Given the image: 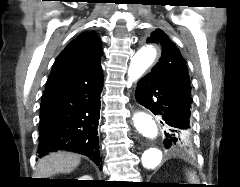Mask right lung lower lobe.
<instances>
[{
  "instance_id": "98d812e1",
  "label": "right lung lower lobe",
  "mask_w": 240,
  "mask_h": 187,
  "mask_svg": "<svg viewBox=\"0 0 240 187\" xmlns=\"http://www.w3.org/2000/svg\"><path fill=\"white\" fill-rule=\"evenodd\" d=\"M102 73L45 92L41 99L38 157L73 151L100 164L98 123Z\"/></svg>"
}]
</instances>
